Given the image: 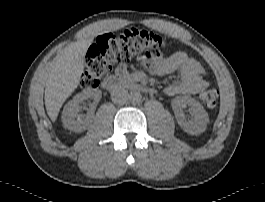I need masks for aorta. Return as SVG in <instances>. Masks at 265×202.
<instances>
[{"instance_id": "obj_1", "label": "aorta", "mask_w": 265, "mask_h": 202, "mask_svg": "<svg viewBox=\"0 0 265 202\" xmlns=\"http://www.w3.org/2000/svg\"><path fill=\"white\" fill-rule=\"evenodd\" d=\"M142 99V95L139 91H131L129 93V102L132 103V104H137L141 101Z\"/></svg>"}]
</instances>
